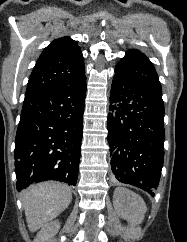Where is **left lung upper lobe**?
Returning <instances> with one entry per match:
<instances>
[{"instance_id": "1", "label": "left lung upper lobe", "mask_w": 187, "mask_h": 242, "mask_svg": "<svg viewBox=\"0 0 187 242\" xmlns=\"http://www.w3.org/2000/svg\"><path fill=\"white\" fill-rule=\"evenodd\" d=\"M115 74L150 92L162 95L161 84L151 61L139 50L126 51L118 62Z\"/></svg>"}]
</instances>
